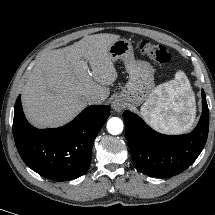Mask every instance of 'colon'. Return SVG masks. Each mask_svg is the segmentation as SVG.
Instances as JSON below:
<instances>
[{
    "instance_id": "obj_1",
    "label": "colon",
    "mask_w": 215,
    "mask_h": 215,
    "mask_svg": "<svg viewBox=\"0 0 215 215\" xmlns=\"http://www.w3.org/2000/svg\"><path fill=\"white\" fill-rule=\"evenodd\" d=\"M137 47L142 54L160 64H166L171 59V53L166 47L148 40L138 42Z\"/></svg>"
}]
</instances>
